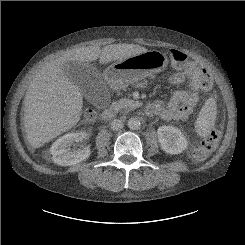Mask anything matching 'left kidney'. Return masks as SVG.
I'll list each match as a JSON object with an SVG mask.
<instances>
[{
	"label": "left kidney",
	"instance_id": "left-kidney-1",
	"mask_svg": "<svg viewBox=\"0 0 245 245\" xmlns=\"http://www.w3.org/2000/svg\"><path fill=\"white\" fill-rule=\"evenodd\" d=\"M157 135L162 150L168 154H179L187 148V139L176 127L160 126Z\"/></svg>",
	"mask_w": 245,
	"mask_h": 245
}]
</instances>
